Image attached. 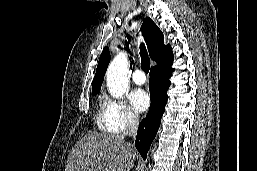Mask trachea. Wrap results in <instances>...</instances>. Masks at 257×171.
I'll list each match as a JSON object with an SVG mask.
<instances>
[{
  "label": "trachea",
  "mask_w": 257,
  "mask_h": 171,
  "mask_svg": "<svg viewBox=\"0 0 257 171\" xmlns=\"http://www.w3.org/2000/svg\"><path fill=\"white\" fill-rule=\"evenodd\" d=\"M140 55H141V68L145 73H148L150 69V60L147 54V50L143 43L140 45Z\"/></svg>",
  "instance_id": "3493384b"
}]
</instances>
